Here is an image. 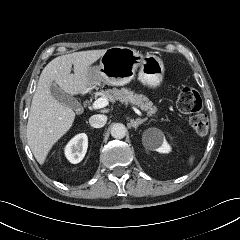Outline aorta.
<instances>
[{
	"label": "aorta",
	"instance_id": "aorta-1",
	"mask_svg": "<svg viewBox=\"0 0 240 240\" xmlns=\"http://www.w3.org/2000/svg\"><path fill=\"white\" fill-rule=\"evenodd\" d=\"M127 129L122 123H115L111 127V135L113 138L122 139L126 136Z\"/></svg>",
	"mask_w": 240,
	"mask_h": 240
}]
</instances>
